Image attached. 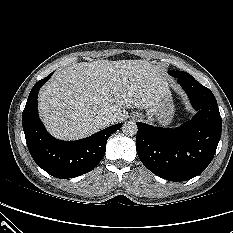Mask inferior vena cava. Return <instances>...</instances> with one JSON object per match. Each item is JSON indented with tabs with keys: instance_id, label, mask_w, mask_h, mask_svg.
I'll list each match as a JSON object with an SVG mask.
<instances>
[{
	"instance_id": "obj_1",
	"label": "inferior vena cava",
	"mask_w": 233,
	"mask_h": 233,
	"mask_svg": "<svg viewBox=\"0 0 233 233\" xmlns=\"http://www.w3.org/2000/svg\"><path fill=\"white\" fill-rule=\"evenodd\" d=\"M95 121L101 126L106 127L111 123V118L108 115H102L98 116Z\"/></svg>"
}]
</instances>
